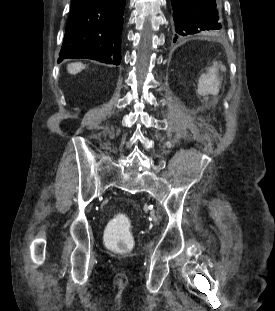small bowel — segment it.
<instances>
[{
	"mask_svg": "<svg viewBox=\"0 0 275 311\" xmlns=\"http://www.w3.org/2000/svg\"><path fill=\"white\" fill-rule=\"evenodd\" d=\"M212 63H223V56H212ZM224 64H211L206 73H200L197 80L196 91L200 98H205L206 103H213L220 92V76L225 74Z\"/></svg>",
	"mask_w": 275,
	"mask_h": 311,
	"instance_id": "obj_1",
	"label": "small bowel"
}]
</instances>
